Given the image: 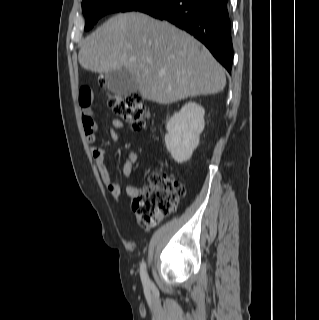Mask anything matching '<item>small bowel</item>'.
Listing matches in <instances>:
<instances>
[{
    "label": "small bowel",
    "instance_id": "small-bowel-1",
    "mask_svg": "<svg viewBox=\"0 0 319 320\" xmlns=\"http://www.w3.org/2000/svg\"><path fill=\"white\" fill-rule=\"evenodd\" d=\"M93 94L90 88L82 87L79 92V104L81 106V121L86 134L88 142H95L97 123L94 119L93 109ZM113 128L110 131V136L113 140H118L125 131V125L120 119H114L112 122ZM91 157L97 168V171L105 183L107 189L111 193L114 199L120 200L122 197V189L118 183L114 181L111 173L105 163V148L101 146H94L91 148ZM138 154L136 152H129L122 165L123 175L129 178L132 175L133 166L138 161ZM126 194L130 197H134L138 194L139 189L133 185L128 184L126 186Z\"/></svg>",
    "mask_w": 319,
    "mask_h": 320
}]
</instances>
